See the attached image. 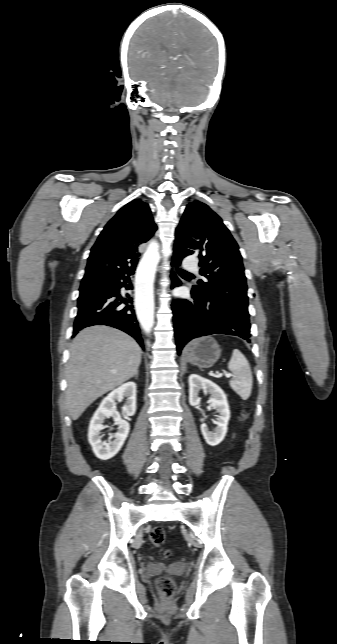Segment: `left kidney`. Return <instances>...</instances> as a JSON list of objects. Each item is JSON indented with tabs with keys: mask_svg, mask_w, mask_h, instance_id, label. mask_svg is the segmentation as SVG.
Returning <instances> with one entry per match:
<instances>
[{
	"mask_svg": "<svg viewBox=\"0 0 337 644\" xmlns=\"http://www.w3.org/2000/svg\"><path fill=\"white\" fill-rule=\"evenodd\" d=\"M188 382L190 405H200L201 398L198 394L201 389L205 394L209 393L211 395L209 403L219 414L215 421L217 427L213 432H211L208 430L207 425L203 423L200 428L206 443L211 446H216L223 441L227 433V426L230 419V409L227 397L218 385L197 374H191Z\"/></svg>",
	"mask_w": 337,
	"mask_h": 644,
	"instance_id": "obj_1",
	"label": "left kidney"
}]
</instances>
